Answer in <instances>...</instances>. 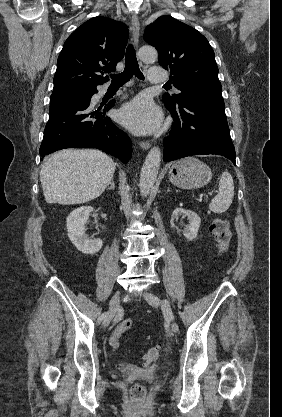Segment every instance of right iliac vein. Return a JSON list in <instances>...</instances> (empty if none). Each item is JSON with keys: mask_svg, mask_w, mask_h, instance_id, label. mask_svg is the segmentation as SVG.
<instances>
[{"mask_svg": "<svg viewBox=\"0 0 282 417\" xmlns=\"http://www.w3.org/2000/svg\"><path fill=\"white\" fill-rule=\"evenodd\" d=\"M120 302V294L116 293L110 300L109 303V313L106 315V317L103 320V326L108 327L113 315L115 314Z\"/></svg>", "mask_w": 282, "mask_h": 417, "instance_id": "63e3f726", "label": "right iliac vein"}]
</instances>
